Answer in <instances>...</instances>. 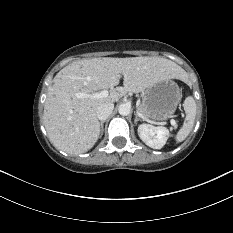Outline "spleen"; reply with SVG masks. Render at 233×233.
Masks as SVG:
<instances>
[{"instance_id": "1", "label": "spleen", "mask_w": 233, "mask_h": 233, "mask_svg": "<svg viewBox=\"0 0 233 233\" xmlns=\"http://www.w3.org/2000/svg\"><path fill=\"white\" fill-rule=\"evenodd\" d=\"M183 107L186 113V117L183 126L179 129L175 136V140L177 143L183 142L190 134L193 129L196 117V103L193 97L188 96L184 100Z\"/></svg>"}]
</instances>
